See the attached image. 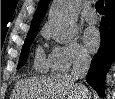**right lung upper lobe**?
<instances>
[{"label": "right lung upper lobe", "mask_w": 115, "mask_h": 99, "mask_svg": "<svg viewBox=\"0 0 115 99\" xmlns=\"http://www.w3.org/2000/svg\"><path fill=\"white\" fill-rule=\"evenodd\" d=\"M49 1L50 0H40L38 8H37L35 15L33 17L28 35L37 34V30L39 28L41 20L43 19L44 15H45ZM105 4H106L105 7H108L112 4L114 5L115 0H106Z\"/></svg>", "instance_id": "1"}]
</instances>
